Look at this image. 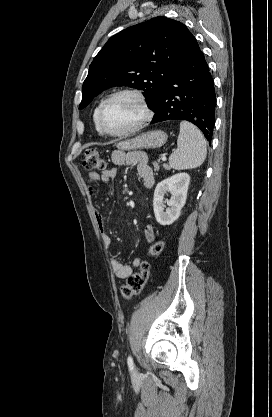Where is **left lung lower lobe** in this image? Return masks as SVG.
Returning a JSON list of instances; mask_svg holds the SVG:
<instances>
[{
    "mask_svg": "<svg viewBox=\"0 0 272 417\" xmlns=\"http://www.w3.org/2000/svg\"><path fill=\"white\" fill-rule=\"evenodd\" d=\"M214 81L200 49L182 63L157 97L152 123L187 120L211 142L215 123Z\"/></svg>",
    "mask_w": 272,
    "mask_h": 417,
    "instance_id": "1",
    "label": "left lung lower lobe"
}]
</instances>
